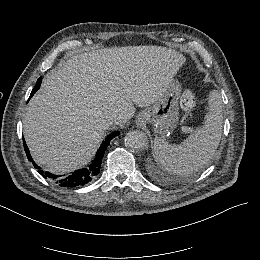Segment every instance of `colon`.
<instances>
[{
	"label": "colon",
	"mask_w": 260,
	"mask_h": 260,
	"mask_svg": "<svg viewBox=\"0 0 260 260\" xmlns=\"http://www.w3.org/2000/svg\"><path fill=\"white\" fill-rule=\"evenodd\" d=\"M180 104L185 112L187 122L190 123L195 117L197 95L191 91H185L180 96Z\"/></svg>",
	"instance_id": "5ec220e1"
}]
</instances>
